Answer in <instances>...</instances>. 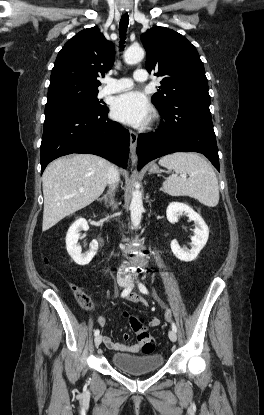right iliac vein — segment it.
<instances>
[{"label": "right iliac vein", "mask_w": 264, "mask_h": 415, "mask_svg": "<svg viewBox=\"0 0 264 415\" xmlns=\"http://www.w3.org/2000/svg\"><path fill=\"white\" fill-rule=\"evenodd\" d=\"M119 285L121 287H126L128 285V281L122 280L119 282ZM101 342H102V335L99 334L95 337V340H94L95 346L98 347L101 344Z\"/></svg>", "instance_id": "obj_1"}]
</instances>
